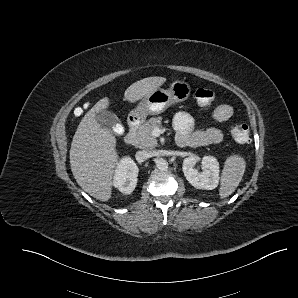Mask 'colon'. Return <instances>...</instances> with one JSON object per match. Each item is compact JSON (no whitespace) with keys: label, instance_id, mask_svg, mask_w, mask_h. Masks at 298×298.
Here are the masks:
<instances>
[{"label":"colon","instance_id":"1","mask_svg":"<svg viewBox=\"0 0 298 298\" xmlns=\"http://www.w3.org/2000/svg\"><path fill=\"white\" fill-rule=\"evenodd\" d=\"M195 99L201 107H208L215 100L214 92L205 87H200L195 91ZM231 136L238 143H247L249 141V127L245 123H236L230 129Z\"/></svg>","mask_w":298,"mask_h":298}]
</instances>
